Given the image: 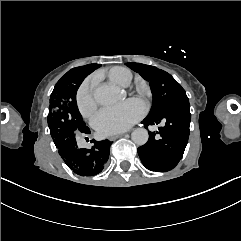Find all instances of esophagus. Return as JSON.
<instances>
[{
	"label": "esophagus",
	"mask_w": 241,
	"mask_h": 241,
	"mask_svg": "<svg viewBox=\"0 0 241 241\" xmlns=\"http://www.w3.org/2000/svg\"><path fill=\"white\" fill-rule=\"evenodd\" d=\"M122 136H124V133H120V134H115V135L109 136L108 139L110 141H114V140H116V139H118V138H120Z\"/></svg>",
	"instance_id": "1"
}]
</instances>
